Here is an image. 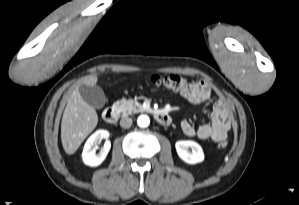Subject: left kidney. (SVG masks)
<instances>
[{
	"mask_svg": "<svg viewBox=\"0 0 299 205\" xmlns=\"http://www.w3.org/2000/svg\"><path fill=\"white\" fill-rule=\"evenodd\" d=\"M175 147L178 156L188 164H197L204 160L203 150L195 141L180 140L176 142ZM189 148H191V152Z\"/></svg>",
	"mask_w": 299,
	"mask_h": 205,
	"instance_id": "left-kidney-1",
	"label": "left kidney"
}]
</instances>
